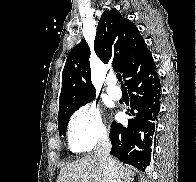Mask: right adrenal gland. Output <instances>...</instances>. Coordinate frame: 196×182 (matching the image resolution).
<instances>
[{
  "label": "right adrenal gland",
  "mask_w": 196,
  "mask_h": 182,
  "mask_svg": "<svg viewBox=\"0 0 196 182\" xmlns=\"http://www.w3.org/2000/svg\"><path fill=\"white\" fill-rule=\"evenodd\" d=\"M122 182H129V181H127V180H124V181H122Z\"/></svg>",
  "instance_id": "1"
}]
</instances>
